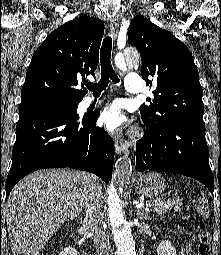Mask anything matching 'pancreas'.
Listing matches in <instances>:
<instances>
[{"instance_id": "pancreas-1", "label": "pancreas", "mask_w": 221, "mask_h": 255, "mask_svg": "<svg viewBox=\"0 0 221 255\" xmlns=\"http://www.w3.org/2000/svg\"><path fill=\"white\" fill-rule=\"evenodd\" d=\"M147 205L151 207V210L157 214L167 213L169 210L180 211L182 202L164 199H152L147 201Z\"/></svg>"}]
</instances>
